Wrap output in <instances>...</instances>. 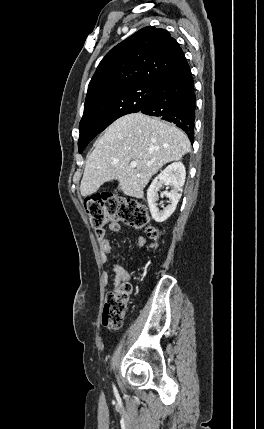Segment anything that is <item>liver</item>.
<instances>
[{
	"mask_svg": "<svg viewBox=\"0 0 264 429\" xmlns=\"http://www.w3.org/2000/svg\"><path fill=\"white\" fill-rule=\"evenodd\" d=\"M190 148L187 135L175 125L142 113L127 114L105 130L87 157L81 195L89 196L116 179L125 195L143 198L151 177L163 165L181 160ZM132 161L138 166L132 168Z\"/></svg>",
	"mask_w": 264,
	"mask_h": 429,
	"instance_id": "1",
	"label": "liver"
}]
</instances>
